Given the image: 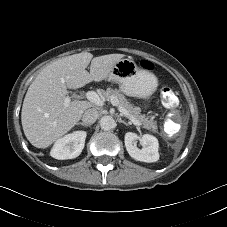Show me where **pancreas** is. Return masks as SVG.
Returning a JSON list of instances; mask_svg holds the SVG:
<instances>
[{
    "label": "pancreas",
    "mask_w": 227,
    "mask_h": 227,
    "mask_svg": "<svg viewBox=\"0 0 227 227\" xmlns=\"http://www.w3.org/2000/svg\"><path fill=\"white\" fill-rule=\"evenodd\" d=\"M103 97L106 100L115 97L118 99L119 104L133 117H135L143 126V128L156 132L157 122L154 120L155 116L145 117L140 114V108L134 107L123 94H121L117 89L108 88L103 93Z\"/></svg>",
    "instance_id": "pancreas-1"
}]
</instances>
